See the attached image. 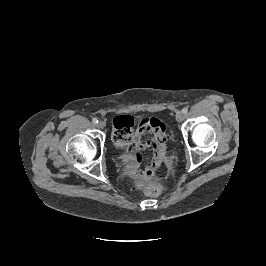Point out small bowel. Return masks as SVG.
Here are the masks:
<instances>
[{
    "label": "small bowel",
    "mask_w": 266,
    "mask_h": 266,
    "mask_svg": "<svg viewBox=\"0 0 266 266\" xmlns=\"http://www.w3.org/2000/svg\"><path fill=\"white\" fill-rule=\"evenodd\" d=\"M134 119L129 115H120L112 122V140L120 148L130 154L131 162L127 165V173L132 177L147 179L154 175L163 163L166 154L167 133L165 124L156 118L143 119L136 131H133ZM151 134L148 139H143ZM152 149L147 167L140 169L143 152Z\"/></svg>",
    "instance_id": "obj_1"
}]
</instances>
